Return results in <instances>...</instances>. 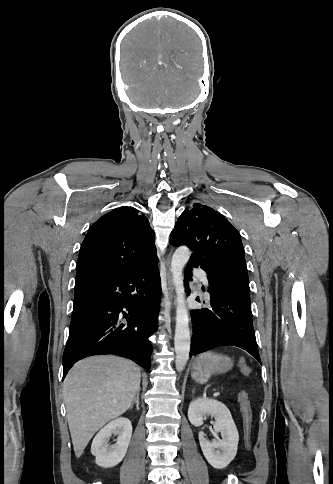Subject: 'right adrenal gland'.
<instances>
[{
  "instance_id": "1",
  "label": "right adrenal gland",
  "mask_w": 333,
  "mask_h": 484,
  "mask_svg": "<svg viewBox=\"0 0 333 484\" xmlns=\"http://www.w3.org/2000/svg\"><path fill=\"white\" fill-rule=\"evenodd\" d=\"M134 403H136V408L139 410V391L136 394V397L133 399L131 404V409L133 408Z\"/></svg>"
}]
</instances>
